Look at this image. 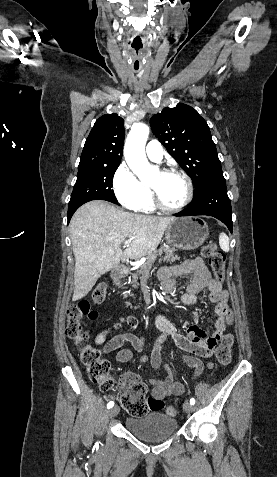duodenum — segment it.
Returning a JSON list of instances; mask_svg holds the SVG:
<instances>
[{"label":"duodenum","mask_w":277,"mask_h":477,"mask_svg":"<svg viewBox=\"0 0 277 477\" xmlns=\"http://www.w3.org/2000/svg\"><path fill=\"white\" fill-rule=\"evenodd\" d=\"M128 274H129L128 269L126 267L120 266L113 271L112 276L116 282L120 283L128 276ZM155 307H156V304L151 303L150 305L146 307V309L153 310Z\"/></svg>","instance_id":"1"}]
</instances>
